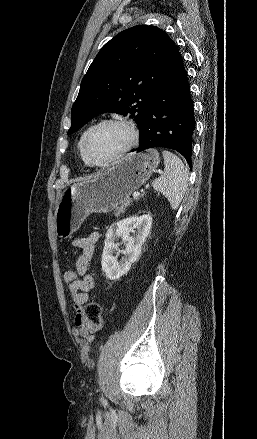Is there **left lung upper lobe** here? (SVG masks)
<instances>
[{
  "instance_id": "obj_1",
  "label": "left lung upper lobe",
  "mask_w": 257,
  "mask_h": 439,
  "mask_svg": "<svg viewBox=\"0 0 257 439\" xmlns=\"http://www.w3.org/2000/svg\"><path fill=\"white\" fill-rule=\"evenodd\" d=\"M178 52L158 27L137 25L120 32L101 48L83 77L68 135L106 112L129 114L140 128Z\"/></svg>"
}]
</instances>
